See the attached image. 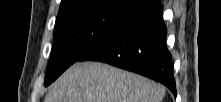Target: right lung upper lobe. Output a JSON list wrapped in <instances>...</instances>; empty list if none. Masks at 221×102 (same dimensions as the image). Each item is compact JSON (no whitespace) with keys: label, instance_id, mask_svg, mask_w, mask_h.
I'll return each instance as SVG.
<instances>
[{"label":"right lung upper lobe","instance_id":"1","mask_svg":"<svg viewBox=\"0 0 221 102\" xmlns=\"http://www.w3.org/2000/svg\"><path fill=\"white\" fill-rule=\"evenodd\" d=\"M89 0H62L59 13L69 11L73 8L80 6ZM127 5L138 9L139 11L153 4L156 0H123Z\"/></svg>","mask_w":221,"mask_h":102}]
</instances>
